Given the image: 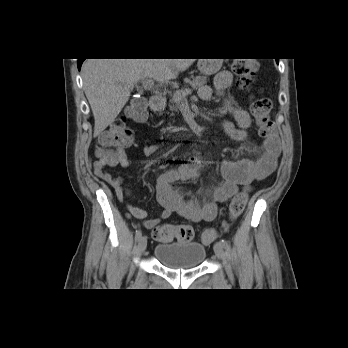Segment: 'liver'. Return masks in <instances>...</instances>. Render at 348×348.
Listing matches in <instances>:
<instances>
[{"mask_svg": "<svg viewBox=\"0 0 348 348\" xmlns=\"http://www.w3.org/2000/svg\"><path fill=\"white\" fill-rule=\"evenodd\" d=\"M195 59H87L82 65L85 95L93 112L97 137L119 115L134 85L146 79L167 83Z\"/></svg>", "mask_w": 348, "mask_h": 348, "instance_id": "obj_1", "label": "liver"}]
</instances>
